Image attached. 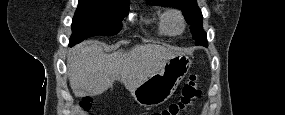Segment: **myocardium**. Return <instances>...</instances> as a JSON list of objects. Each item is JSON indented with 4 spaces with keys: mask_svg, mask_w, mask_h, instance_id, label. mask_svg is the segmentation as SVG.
<instances>
[{
    "mask_svg": "<svg viewBox=\"0 0 285 115\" xmlns=\"http://www.w3.org/2000/svg\"><path fill=\"white\" fill-rule=\"evenodd\" d=\"M164 21L169 30L173 35L181 34L186 27L185 17L181 11L177 9H169L164 13ZM178 23V26H175L174 22Z\"/></svg>",
    "mask_w": 285,
    "mask_h": 115,
    "instance_id": "f54148a6",
    "label": "myocardium"
}]
</instances>
